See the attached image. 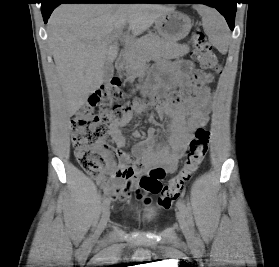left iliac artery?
Instances as JSON below:
<instances>
[{"label":"left iliac artery","instance_id":"obj_1","mask_svg":"<svg viewBox=\"0 0 279 267\" xmlns=\"http://www.w3.org/2000/svg\"><path fill=\"white\" fill-rule=\"evenodd\" d=\"M177 207L184 214V216H186L189 224L191 226H193L192 218L190 216V212H189V209L187 208V206L183 202H178ZM197 239L199 241V238H197Z\"/></svg>","mask_w":279,"mask_h":267}]
</instances>
